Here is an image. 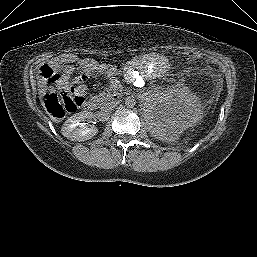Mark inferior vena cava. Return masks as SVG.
Wrapping results in <instances>:
<instances>
[{"label": "inferior vena cava", "instance_id": "inferior-vena-cava-1", "mask_svg": "<svg viewBox=\"0 0 257 257\" xmlns=\"http://www.w3.org/2000/svg\"><path fill=\"white\" fill-rule=\"evenodd\" d=\"M115 106V102L113 101H108L102 106V111H109Z\"/></svg>", "mask_w": 257, "mask_h": 257}]
</instances>
